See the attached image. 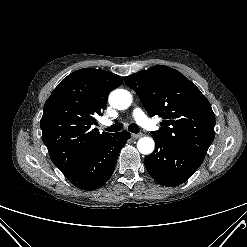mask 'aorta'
<instances>
[{"label": "aorta", "mask_w": 247, "mask_h": 247, "mask_svg": "<svg viewBox=\"0 0 247 247\" xmlns=\"http://www.w3.org/2000/svg\"><path fill=\"white\" fill-rule=\"evenodd\" d=\"M109 103L118 110L127 109L132 103L131 94L124 89H116L109 95ZM155 143L151 137H142L137 142V148L142 154H151L154 150Z\"/></svg>", "instance_id": "762f6f07"}]
</instances>
